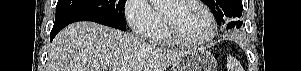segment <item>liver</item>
<instances>
[{
  "mask_svg": "<svg viewBox=\"0 0 301 71\" xmlns=\"http://www.w3.org/2000/svg\"><path fill=\"white\" fill-rule=\"evenodd\" d=\"M188 51L146 43L138 36L94 22L61 30L48 52L46 71H165Z\"/></svg>",
  "mask_w": 301,
  "mask_h": 71,
  "instance_id": "6515ba94",
  "label": "liver"
}]
</instances>
